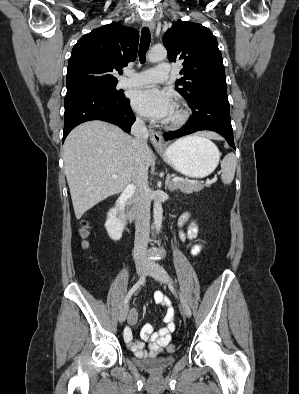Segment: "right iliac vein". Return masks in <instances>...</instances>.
I'll return each instance as SVG.
<instances>
[{"label": "right iliac vein", "mask_w": 299, "mask_h": 394, "mask_svg": "<svg viewBox=\"0 0 299 394\" xmlns=\"http://www.w3.org/2000/svg\"><path fill=\"white\" fill-rule=\"evenodd\" d=\"M136 270L138 276H142L146 270H147V265L146 264H137L136 265ZM128 316V305H125V307L121 310L120 316H119V321L120 323H123Z\"/></svg>", "instance_id": "obj_1"}]
</instances>
